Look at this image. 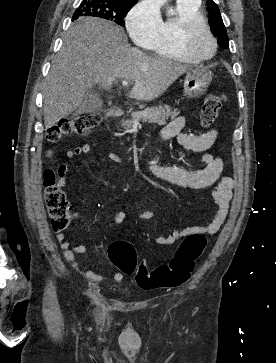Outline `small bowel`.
<instances>
[{
    "instance_id": "obj_1",
    "label": "small bowel",
    "mask_w": 276,
    "mask_h": 363,
    "mask_svg": "<svg viewBox=\"0 0 276 363\" xmlns=\"http://www.w3.org/2000/svg\"><path fill=\"white\" fill-rule=\"evenodd\" d=\"M185 125V117H175L161 130L159 143H163L171 138H176L183 148L194 152H204L215 144L219 135L217 129H211L202 134H187L183 131ZM91 148V145L88 143L77 146L74 149L68 150L66 152V157L68 159H74L77 156L89 153ZM109 157L116 162H121V159L115 154L111 153L109 154ZM202 162L205 165L204 168L199 170H188L178 166L158 165L155 155L151 156L147 161V171L156 179L191 189H203L215 185L212 195L216 209L211 220L201 227L180 228L170 235L156 237L155 242L157 244L172 245L179 239L191 234L211 235L217 232L223 224L228 213L235 182L231 177H221L224 162L220 156L205 154L202 156ZM67 170V165H62L60 168L62 173L58 180V185L60 187L64 186L67 182V179L64 176ZM141 204H143V202H141ZM153 216L154 212L152 210H147L139 215V219L148 221L152 219ZM124 220L125 213L123 211H119L113 216L114 223L119 224ZM56 238L60 243L65 259L75 271L82 274L93 285L106 279L105 274L95 272L77 260V254L87 252L88 247L86 245L80 244L71 247L69 242L66 241V237L63 233H58ZM112 278L116 282H121L124 279V274L121 271H116L113 273Z\"/></svg>"
}]
</instances>
